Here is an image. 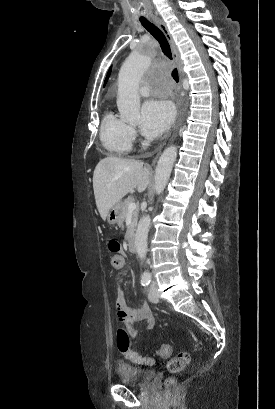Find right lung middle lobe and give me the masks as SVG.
I'll return each mask as SVG.
<instances>
[{
	"instance_id": "dd1d6c3e",
	"label": "right lung middle lobe",
	"mask_w": 275,
	"mask_h": 409,
	"mask_svg": "<svg viewBox=\"0 0 275 409\" xmlns=\"http://www.w3.org/2000/svg\"><path fill=\"white\" fill-rule=\"evenodd\" d=\"M150 167L151 168H156L157 167V162L156 161H151L150 162Z\"/></svg>"
}]
</instances>
